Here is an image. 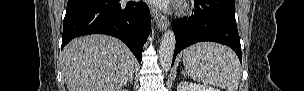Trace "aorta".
Masks as SVG:
<instances>
[{
    "instance_id": "762f6f07",
    "label": "aorta",
    "mask_w": 304,
    "mask_h": 91,
    "mask_svg": "<svg viewBox=\"0 0 304 91\" xmlns=\"http://www.w3.org/2000/svg\"><path fill=\"white\" fill-rule=\"evenodd\" d=\"M176 46V38L172 29L164 32L159 48V63L163 70L171 68L173 55Z\"/></svg>"
}]
</instances>
